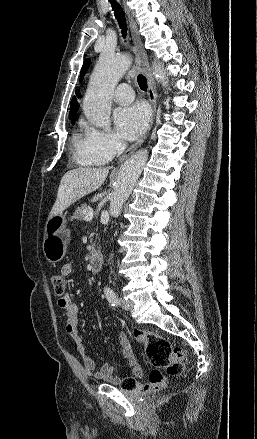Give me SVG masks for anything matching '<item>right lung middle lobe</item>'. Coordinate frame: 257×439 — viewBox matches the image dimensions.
I'll use <instances>...</instances> for the list:
<instances>
[{
    "label": "right lung middle lobe",
    "instance_id": "right-lung-middle-lobe-1",
    "mask_svg": "<svg viewBox=\"0 0 257 439\" xmlns=\"http://www.w3.org/2000/svg\"><path fill=\"white\" fill-rule=\"evenodd\" d=\"M76 112H70L69 113V117L71 118V119H73V120H75V118H74V114H75ZM73 124H74V122H73Z\"/></svg>",
    "mask_w": 257,
    "mask_h": 439
}]
</instances>
